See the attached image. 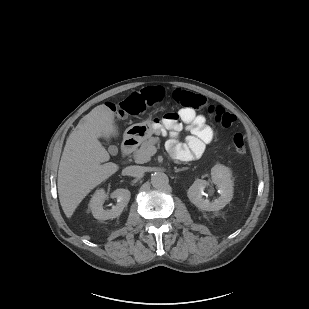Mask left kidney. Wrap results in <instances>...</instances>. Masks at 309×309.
<instances>
[{
  "mask_svg": "<svg viewBox=\"0 0 309 309\" xmlns=\"http://www.w3.org/2000/svg\"><path fill=\"white\" fill-rule=\"evenodd\" d=\"M231 177L232 173L228 167L221 164L215 165L211 169V179L212 183L219 189V198L212 202L204 199V190L209 185V182L196 179L187 192L189 200L204 211H218L224 208L233 197V181Z\"/></svg>",
  "mask_w": 309,
  "mask_h": 309,
  "instance_id": "5707ae66",
  "label": "left kidney"
}]
</instances>
